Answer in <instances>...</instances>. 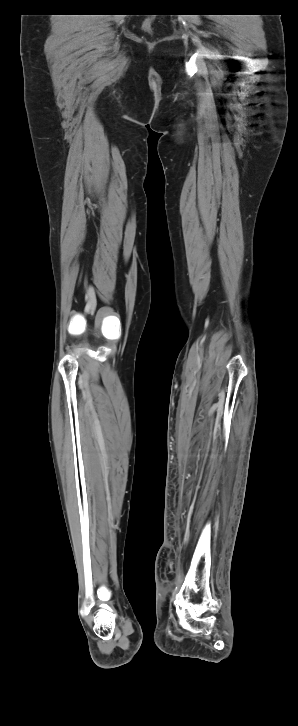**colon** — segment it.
<instances>
[{"mask_svg": "<svg viewBox=\"0 0 298 726\" xmlns=\"http://www.w3.org/2000/svg\"><path fill=\"white\" fill-rule=\"evenodd\" d=\"M151 23L152 22H151L150 19H147V20L144 21L143 28H144L145 31H147V32H151L152 31Z\"/></svg>", "mask_w": 298, "mask_h": 726, "instance_id": "1", "label": "colon"}]
</instances>
